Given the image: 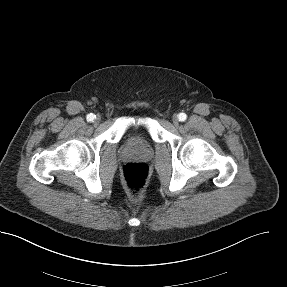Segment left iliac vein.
<instances>
[{"label":"left iliac vein","instance_id":"1","mask_svg":"<svg viewBox=\"0 0 287 287\" xmlns=\"http://www.w3.org/2000/svg\"><path fill=\"white\" fill-rule=\"evenodd\" d=\"M172 122H173L174 126H176V127L179 125V119H178L177 115H173Z\"/></svg>","mask_w":287,"mask_h":287}]
</instances>
